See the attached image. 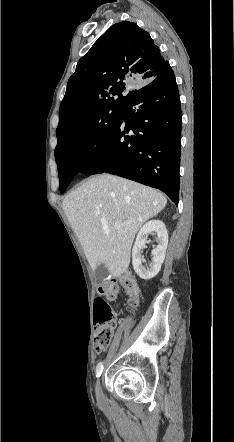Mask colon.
I'll use <instances>...</instances> for the list:
<instances>
[{
	"instance_id": "obj_1",
	"label": "colon",
	"mask_w": 234,
	"mask_h": 442,
	"mask_svg": "<svg viewBox=\"0 0 234 442\" xmlns=\"http://www.w3.org/2000/svg\"><path fill=\"white\" fill-rule=\"evenodd\" d=\"M122 284L126 293L130 296V304L134 307L138 306L141 303L140 288L131 273H126L122 277ZM116 294L117 284L115 281L106 282L98 288V296L94 305V325L96 329L94 345L98 352L107 349L114 335L116 321L109 303L115 299Z\"/></svg>"
}]
</instances>
